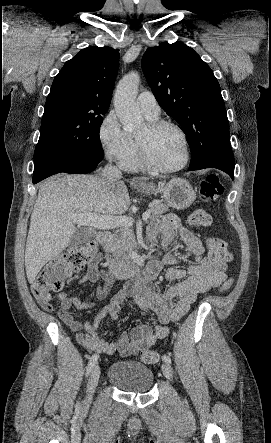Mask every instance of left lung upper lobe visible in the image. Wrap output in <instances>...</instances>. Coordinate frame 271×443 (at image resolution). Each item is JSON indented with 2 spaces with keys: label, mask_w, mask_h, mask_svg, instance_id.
<instances>
[{
  "label": "left lung upper lobe",
  "mask_w": 271,
  "mask_h": 443,
  "mask_svg": "<svg viewBox=\"0 0 271 443\" xmlns=\"http://www.w3.org/2000/svg\"><path fill=\"white\" fill-rule=\"evenodd\" d=\"M142 69L159 104L182 127L190 165L205 159L234 163L219 83L210 67L182 42L149 48Z\"/></svg>",
  "instance_id": "obj_1"
}]
</instances>
